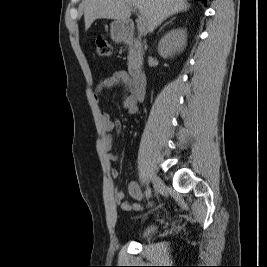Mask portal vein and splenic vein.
Wrapping results in <instances>:
<instances>
[{
	"label": "portal vein and splenic vein",
	"instance_id": "18ae733b",
	"mask_svg": "<svg viewBox=\"0 0 267 267\" xmlns=\"http://www.w3.org/2000/svg\"><path fill=\"white\" fill-rule=\"evenodd\" d=\"M133 11L136 12L135 9H133ZM145 25H146L145 18L142 15H138L137 28L140 34H143L145 32Z\"/></svg>",
	"mask_w": 267,
	"mask_h": 267
}]
</instances>
